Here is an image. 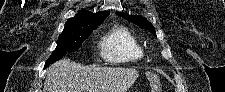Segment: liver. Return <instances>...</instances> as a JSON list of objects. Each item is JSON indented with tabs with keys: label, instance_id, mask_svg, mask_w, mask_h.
<instances>
[{
	"label": "liver",
	"instance_id": "obj_1",
	"mask_svg": "<svg viewBox=\"0 0 225 92\" xmlns=\"http://www.w3.org/2000/svg\"><path fill=\"white\" fill-rule=\"evenodd\" d=\"M138 76L135 69L86 67L62 59L49 67L43 92H127Z\"/></svg>",
	"mask_w": 225,
	"mask_h": 92
}]
</instances>
